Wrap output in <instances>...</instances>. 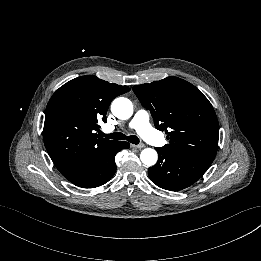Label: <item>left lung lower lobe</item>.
Wrapping results in <instances>:
<instances>
[{
	"label": "left lung lower lobe",
	"mask_w": 261,
	"mask_h": 261,
	"mask_svg": "<svg viewBox=\"0 0 261 261\" xmlns=\"http://www.w3.org/2000/svg\"><path fill=\"white\" fill-rule=\"evenodd\" d=\"M158 162L148 169L150 179L160 188L178 191L195 183L212 162L187 154L156 148Z\"/></svg>",
	"instance_id": "obj_1"
}]
</instances>
